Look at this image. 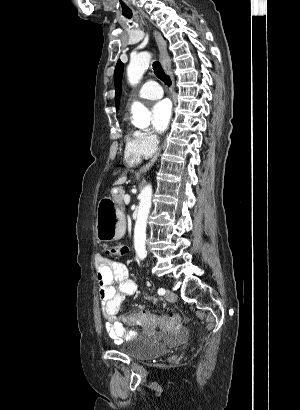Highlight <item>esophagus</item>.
Here are the masks:
<instances>
[{"mask_svg": "<svg viewBox=\"0 0 300 410\" xmlns=\"http://www.w3.org/2000/svg\"><path fill=\"white\" fill-rule=\"evenodd\" d=\"M153 35L155 37V40L157 42L159 51H160V59L161 63L167 72L172 75L171 70H170V58L167 52V45L166 42L163 40L161 34L158 31H154ZM159 154H156L146 165H144L142 168H140L139 172H145L148 170L154 162L157 160Z\"/></svg>", "mask_w": 300, "mask_h": 410, "instance_id": "esophagus-1", "label": "esophagus"}]
</instances>
